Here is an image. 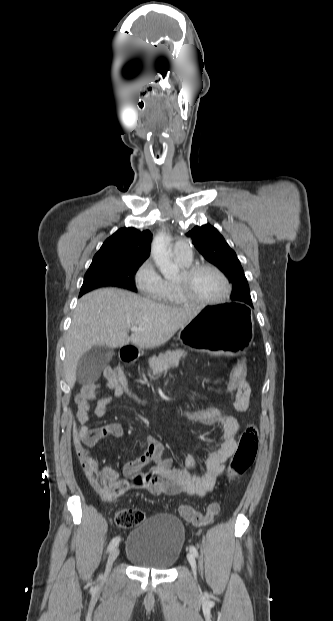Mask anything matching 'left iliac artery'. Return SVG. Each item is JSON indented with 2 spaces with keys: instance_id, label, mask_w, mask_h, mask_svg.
I'll return each mask as SVG.
<instances>
[{
  "instance_id": "1",
  "label": "left iliac artery",
  "mask_w": 333,
  "mask_h": 621,
  "mask_svg": "<svg viewBox=\"0 0 333 621\" xmlns=\"http://www.w3.org/2000/svg\"><path fill=\"white\" fill-rule=\"evenodd\" d=\"M189 550H190V552H191V553H192L195 557H197V556H198V551H197V549H196L193 545H192V546H190Z\"/></svg>"
}]
</instances>
